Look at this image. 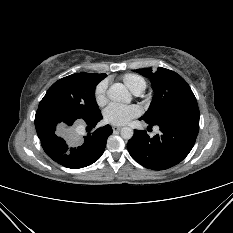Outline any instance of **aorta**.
<instances>
[{
    "instance_id": "obj_1",
    "label": "aorta",
    "mask_w": 233,
    "mask_h": 233,
    "mask_svg": "<svg viewBox=\"0 0 233 233\" xmlns=\"http://www.w3.org/2000/svg\"><path fill=\"white\" fill-rule=\"evenodd\" d=\"M107 96L110 100L116 102H131V94L128 92L126 87L121 83L113 84L107 91ZM133 130L130 127H123L121 129V137L123 139L129 140L133 137Z\"/></svg>"
}]
</instances>
